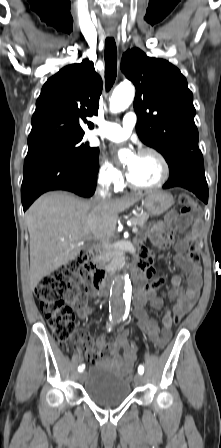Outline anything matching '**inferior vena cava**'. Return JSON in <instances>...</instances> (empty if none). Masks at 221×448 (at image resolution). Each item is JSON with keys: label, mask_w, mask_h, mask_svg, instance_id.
<instances>
[{"label": "inferior vena cava", "mask_w": 221, "mask_h": 448, "mask_svg": "<svg viewBox=\"0 0 221 448\" xmlns=\"http://www.w3.org/2000/svg\"><path fill=\"white\" fill-rule=\"evenodd\" d=\"M96 198L100 201H105L111 198V193L109 192L107 181L101 182V187L97 189Z\"/></svg>", "instance_id": "1"}]
</instances>
